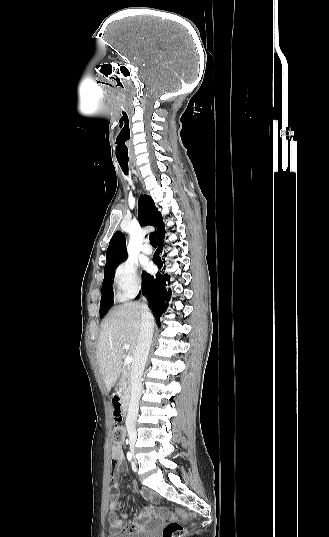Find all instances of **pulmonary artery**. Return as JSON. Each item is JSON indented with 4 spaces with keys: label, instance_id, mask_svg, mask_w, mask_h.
Instances as JSON below:
<instances>
[{
    "label": "pulmonary artery",
    "instance_id": "obj_1",
    "mask_svg": "<svg viewBox=\"0 0 329 537\" xmlns=\"http://www.w3.org/2000/svg\"><path fill=\"white\" fill-rule=\"evenodd\" d=\"M141 251L144 254H151L152 253V247L148 243H144L141 247Z\"/></svg>",
    "mask_w": 329,
    "mask_h": 537
}]
</instances>
